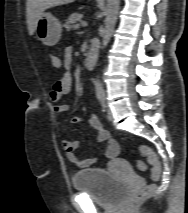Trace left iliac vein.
<instances>
[{
	"mask_svg": "<svg viewBox=\"0 0 188 213\" xmlns=\"http://www.w3.org/2000/svg\"><path fill=\"white\" fill-rule=\"evenodd\" d=\"M107 118L109 121H112L113 120V115H112V112L110 109L107 110Z\"/></svg>",
	"mask_w": 188,
	"mask_h": 213,
	"instance_id": "4c4485c4",
	"label": "left iliac vein"
}]
</instances>
